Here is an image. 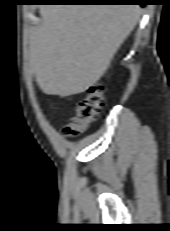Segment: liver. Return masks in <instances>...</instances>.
<instances>
[{
	"instance_id": "6515ba94",
	"label": "liver",
	"mask_w": 170,
	"mask_h": 231,
	"mask_svg": "<svg viewBox=\"0 0 170 231\" xmlns=\"http://www.w3.org/2000/svg\"><path fill=\"white\" fill-rule=\"evenodd\" d=\"M29 39L28 60L47 95L71 96L93 86L139 21V5H45Z\"/></svg>"
}]
</instances>
